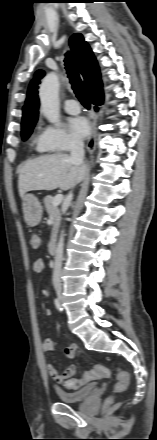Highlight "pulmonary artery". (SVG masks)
I'll list each match as a JSON object with an SVG mask.
<instances>
[{
	"instance_id": "1",
	"label": "pulmonary artery",
	"mask_w": 157,
	"mask_h": 440,
	"mask_svg": "<svg viewBox=\"0 0 157 440\" xmlns=\"http://www.w3.org/2000/svg\"><path fill=\"white\" fill-rule=\"evenodd\" d=\"M64 109L70 114H78L80 112L79 103L75 100H66L64 102Z\"/></svg>"
}]
</instances>
